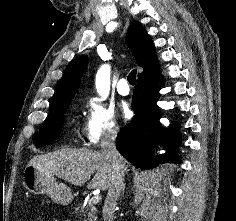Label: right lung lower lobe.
Returning a JSON list of instances; mask_svg holds the SVG:
<instances>
[{"label": "right lung lower lobe", "instance_id": "right-lung-lower-lobe-1", "mask_svg": "<svg viewBox=\"0 0 236 221\" xmlns=\"http://www.w3.org/2000/svg\"><path fill=\"white\" fill-rule=\"evenodd\" d=\"M164 85L159 66L146 75L138 78L134 88L132 107L135 113L132 121L123 127L117 136L116 145L119 152L130 162L141 169L150 168L165 158L168 162L177 163L173 149L177 144V127L169 130L161 128L159 119L161 112L156 104ZM164 139L170 149L165 155L152 157L154 146Z\"/></svg>", "mask_w": 236, "mask_h": 221}]
</instances>
